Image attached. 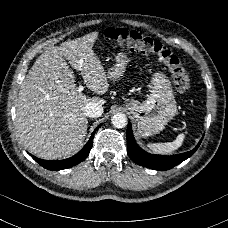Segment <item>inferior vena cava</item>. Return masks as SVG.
I'll list each match as a JSON object with an SVG mask.
<instances>
[{"label":"inferior vena cava","instance_id":"602c4592","mask_svg":"<svg viewBox=\"0 0 228 228\" xmlns=\"http://www.w3.org/2000/svg\"><path fill=\"white\" fill-rule=\"evenodd\" d=\"M103 107L93 100H89L85 106L84 114L90 118H96L102 115Z\"/></svg>","mask_w":228,"mask_h":228}]
</instances>
